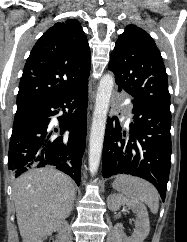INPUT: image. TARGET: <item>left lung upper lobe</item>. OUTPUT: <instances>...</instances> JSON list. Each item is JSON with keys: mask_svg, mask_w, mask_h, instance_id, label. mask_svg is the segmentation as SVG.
Returning a JSON list of instances; mask_svg holds the SVG:
<instances>
[{"mask_svg": "<svg viewBox=\"0 0 187 242\" xmlns=\"http://www.w3.org/2000/svg\"><path fill=\"white\" fill-rule=\"evenodd\" d=\"M108 69L118 89L135 100L170 113V95L163 59L152 37L128 25L116 41Z\"/></svg>", "mask_w": 187, "mask_h": 242, "instance_id": "left-lung-upper-lobe-1", "label": "left lung upper lobe"}]
</instances>
